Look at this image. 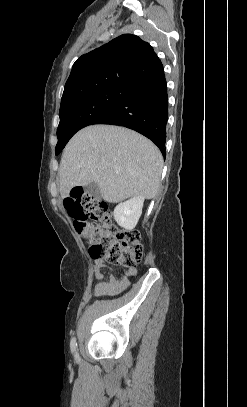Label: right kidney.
<instances>
[{
	"instance_id": "1",
	"label": "right kidney",
	"mask_w": 247,
	"mask_h": 407,
	"mask_svg": "<svg viewBox=\"0 0 247 407\" xmlns=\"http://www.w3.org/2000/svg\"><path fill=\"white\" fill-rule=\"evenodd\" d=\"M143 203L144 197L137 196L117 205L114 209V219L118 225L126 230L134 229L142 214Z\"/></svg>"
}]
</instances>
